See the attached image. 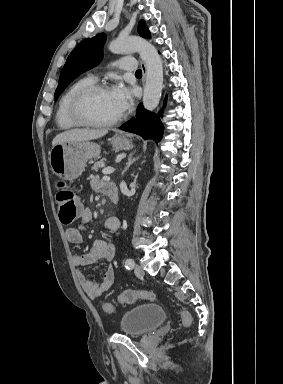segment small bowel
Wrapping results in <instances>:
<instances>
[{
	"instance_id": "small-bowel-1",
	"label": "small bowel",
	"mask_w": 283,
	"mask_h": 384,
	"mask_svg": "<svg viewBox=\"0 0 283 384\" xmlns=\"http://www.w3.org/2000/svg\"><path fill=\"white\" fill-rule=\"evenodd\" d=\"M107 182L98 177H94L91 181L92 188L100 193H104ZM92 219L90 208L84 207L80 209V224L77 227H69L66 229V238L72 244L82 242V232L86 225ZM104 228L111 233L118 235L121 231V222L117 217H109L104 223ZM116 256V248L113 243L107 239L101 238L94 241L91 249L82 254L73 256V263L77 267H85L93 264L98 260H104L111 263ZM78 280L85 293L92 299L99 297L103 292L109 290L114 282V270L112 266H108L103 279L95 282L86 277L82 271L77 272Z\"/></svg>"
}]
</instances>
